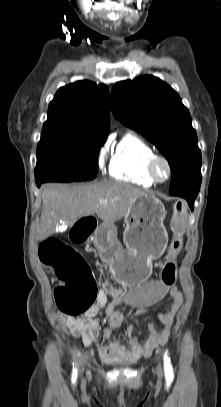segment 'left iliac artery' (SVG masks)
I'll use <instances>...</instances> for the list:
<instances>
[{"mask_svg": "<svg viewBox=\"0 0 221 407\" xmlns=\"http://www.w3.org/2000/svg\"><path fill=\"white\" fill-rule=\"evenodd\" d=\"M164 369L167 378L173 377V369L170 364V358L167 355V352L164 353Z\"/></svg>", "mask_w": 221, "mask_h": 407, "instance_id": "left-iliac-artery-1", "label": "left iliac artery"}]
</instances>
